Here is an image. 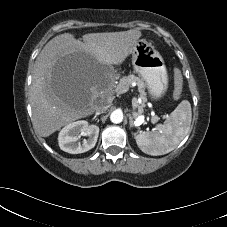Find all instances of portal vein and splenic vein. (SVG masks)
<instances>
[{"label": "portal vein and splenic vein", "instance_id": "obj_1", "mask_svg": "<svg viewBox=\"0 0 227 227\" xmlns=\"http://www.w3.org/2000/svg\"><path fill=\"white\" fill-rule=\"evenodd\" d=\"M127 91H128V88H124L121 85H118L117 88H116V92L119 93V94L126 93ZM132 107H133V110H134V114L138 115L137 118H136V122L139 123V124L144 123L146 116L144 114H137V112H135V110L138 107V100L135 97L132 99ZM157 127L161 128V125H158Z\"/></svg>", "mask_w": 227, "mask_h": 227}]
</instances>
